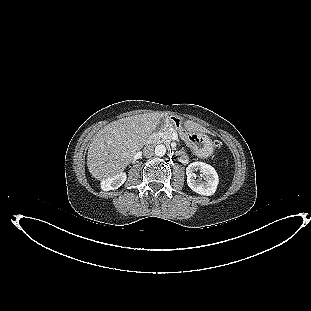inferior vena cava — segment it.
<instances>
[{
	"mask_svg": "<svg viewBox=\"0 0 311 311\" xmlns=\"http://www.w3.org/2000/svg\"><path fill=\"white\" fill-rule=\"evenodd\" d=\"M144 156L149 158L154 155V147L153 145H146L143 149Z\"/></svg>",
	"mask_w": 311,
	"mask_h": 311,
	"instance_id": "inferior-vena-cava-1",
	"label": "inferior vena cava"
}]
</instances>
